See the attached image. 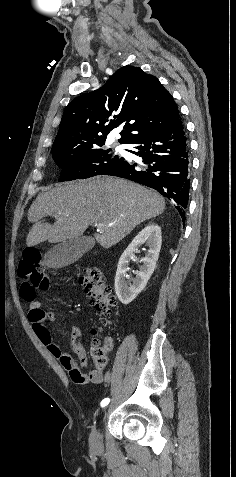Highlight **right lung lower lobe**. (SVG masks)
Returning a JSON list of instances; mask_svg holds the SVG:
<instances>
[{
    "instance_id": "1",
    "label": "right lung lower lobe",
    "mask_w": 236,
    "mask_h": 477,
    "mask_svg": "<svg viewBox=\"0 0 236 477\" xmlns=\"http://www.w3.org/2000/svg\"><path fill=\"white\" fill-rule=\"evenodd\" d=\"M142 163L124 161L106 175L126 178L157 190L175 202L184 218L190 188L189 145L179 114L166 128L133 140Z\"/></svg>"
}]
</instances>
